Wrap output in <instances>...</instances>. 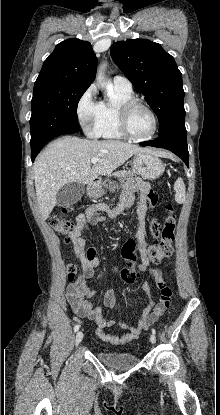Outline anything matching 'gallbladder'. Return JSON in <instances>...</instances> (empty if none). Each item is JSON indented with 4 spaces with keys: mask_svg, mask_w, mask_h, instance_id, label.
Wrapping results in <instances>:
<instances>
[{
    "mask_svg": "<svg viewBox=\"0 0 220 415\" xmlns=\"http://www.w3.org/2000/svg\"><path fill=\"white\" fill-rule=\"evenodd\" d=\"M85 192L84 185L70 182L64 185L57 193L56 202L58 206L69 207L80 200Z\"/></svg>",
    "mask_w": 220,
    "mask_h": 415,
    "instance_id": "obj_1",
    "label": "gallbladder"
}]
</instances>
